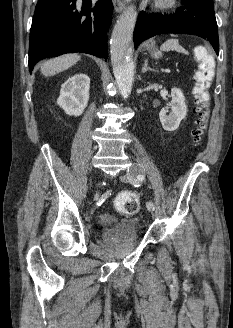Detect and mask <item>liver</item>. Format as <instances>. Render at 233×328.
Wrapping results in <instances>:
<instances>
[{
	"label": "liver",
	"mask_w": 233,
	"mask_h": 328,
	"mask_svg": "<svg viewBox=\"0 0 233 328\" xmlns=\"http://www.w3.org/2000/svg\"><path fill=\"white\" fill-rule=\"evenodd\" d=\"M78 54H66L44 62L40 71L44 76H52L64 71L80 60Z\"/></svg>",
	"instance_id": "6515ba94"
}]
</instances>
